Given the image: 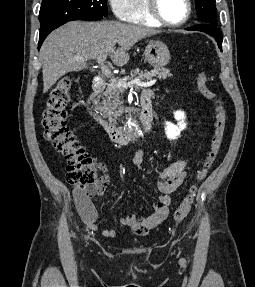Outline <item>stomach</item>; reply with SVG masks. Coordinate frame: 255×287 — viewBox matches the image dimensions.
I'll return each mask as SVG.
<instances>
[{"mask_svg": "<svg viewBox=\"0 0 255 287\" xmlns=\"http://www.w3.org/2000/svg\"><path fill=\"white\" fill-rule=\"evenodd\" d=\"M144 58L153 68H164L171 60L168 46L159 40H150L145 48Z\"/></svg>", "mask_w": 255, "mask_h": 287, "instance_id": "stomach-1", "label": "stomach"}]
</instances>
